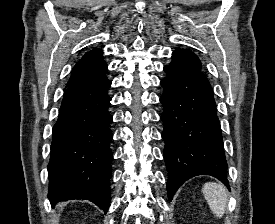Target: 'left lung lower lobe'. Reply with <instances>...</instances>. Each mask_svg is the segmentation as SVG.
<instances>
[{
	"label": "left lung lower lobe",
	"mask_w": 275,
	"mask_h": 224,
	"mask_svg": "<svg viewBox=\"0 0 275 224\" xmlns=\"http://www.w3.org/2000/svg\"><path fill=\"white\" fill-rule=\"evenodd\" d=\"M164 71L160 102L169 200L184 181L197 175L213 176L229 188L222 131L208 79L199 70Z\"/></svg>",
	"instance_id": "obj_1"
}]
</instances>
